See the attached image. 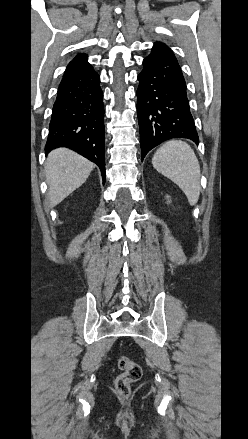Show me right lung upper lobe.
Here are the masks:
<instances>
[{"instance_id": "obj_1", "label": "right lung upper lobe", "mask_w": 248, "mask_h": 439, "mask_svg": "<svg viewBox=\"0 0 248 439\" xmlns=\"http://www.w3.org/2000/svg\"><path fill=\"white\" fill-rule=\"evenodd\" d=\"M86 54H78L67 66L64 76L74 73L89 65Z\"/></svg>"}]
</instances>
